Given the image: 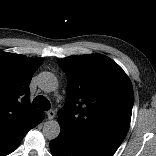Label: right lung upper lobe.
<instances>
[{"mask_svg": "<svg viewBox=\"0 0 156 156\" xmlns=\"http://www.w3.org/2000/svg\"><path fill=\"white\" fill-rule=\"evenodd\" d=\"M42 58H27L0 50V135L31 127L43 113L30 104L29 85Z\"/></svg>", "mask_w": 156, "mask_h": 156, "instance_id": "1", "label": "right lung upper lobe"}]
</instances>
